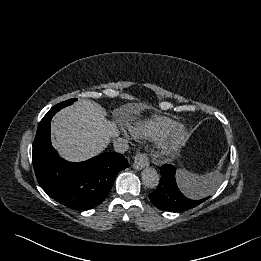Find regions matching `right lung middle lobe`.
<instances>
[{
  "instance_id": "dd1d6c3e",
  "label": "right lung middle lobe",
  "mask_w": 261,
  "mask_h": 261,
  "mask_svg": "<svg viewBox=\"0 0 261 261\" xmlns=\"http://www.w3.org/2000/svg\"><path fill=\"white\" fill-rule=\"evenodd\" d=\"M76 100H77L76 98L66 100V101H64V102H61V103L55 105L54 107H52V109H58V110H60V109L66 107V106H68V105H71V104H72L73 102H75Z\"/></svg>"
}]
</instances>
